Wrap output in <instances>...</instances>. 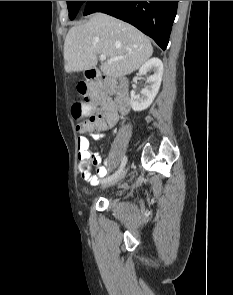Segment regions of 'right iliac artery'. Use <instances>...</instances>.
<instances>
[{
    "label": "right iliac artery",
    "instance_id": "right-iliac-artery-1",
    "mask_svg": "<svg viewBox=\"0 0 233 295\" xmlns=\"http://www.w3.org/2000/svg\"><path fill=\"white\" fill-rule=\"evenodd\" d=\"M126 163H127V157L124 156L123 159H122V162H121V165H120V168L118 169V171H116L111 176H108L107 179L110 180V179H113L114 177L118 176L122 172V170L125 167Z\"/></svg>",
    "mask_w": 233,
    "mask_h": 295
}]
</instances>
